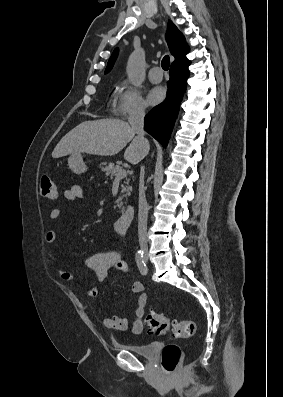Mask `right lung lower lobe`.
<instances>
[{
    "label": "right lung lower lobe",
    "mask_w": 283,
    "mask_h": 397,
    "mask_svg": "<svg viewBox=\"0 0 283 397\" xmlns=\"http://www.w3.org/2000/svg\"><path fill=\"white\" fill-rule=\"evenodd\" d=\"M190 61L174 64L170 68V80L166 99L144 119V129L166 147L178 114L189 76Z\"/></svg>",
    "instance_id": "obj_1"
}]
</instances>
